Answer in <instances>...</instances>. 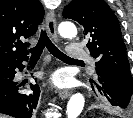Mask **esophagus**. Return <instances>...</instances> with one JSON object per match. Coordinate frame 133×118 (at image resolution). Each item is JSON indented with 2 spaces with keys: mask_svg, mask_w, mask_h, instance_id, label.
<instances>
[{
  "mask_svg": "<svg viewBox=\"0 0 133 118\" xmlns=\"http://www.w3.org/2000/svg\"><path fill=\"white\" fill-rule=\"evenodd\" d=\"M46 27L49 32L50 37L55 41L58 42V34L56 29V19L53 12H48L46 15ZM71 95V91L69 90H61L59 91V97L61 99H66Z\"/></svg>",
  "mask_w": 133,
  "mask_h": 118,
  "instance_id": "esophagus-1",
  "label": "esophagus"
}]
</instances>
